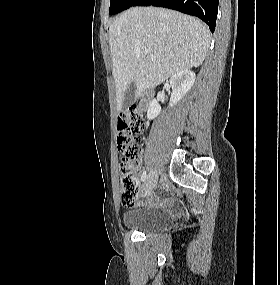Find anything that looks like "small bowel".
I'll use <instances>...</instances> for the list:
<instances>
[{"mask_svg": "<svg viewBox=\"0 0 280 285\" xmlns=\"http://www.w3.org/2000/svg\"><path fill=\"white\" fill-rule=\"evenodd\" d=\"M162 193H163V189H159L157 193H152L149 197L150 202L155 205L164 204L165 201L161 197Z\"/></svg>", "mask_w": 280, "mask_h": 285, "instance_id": "obj_1", "label": "small bowel"}]
</instances>
